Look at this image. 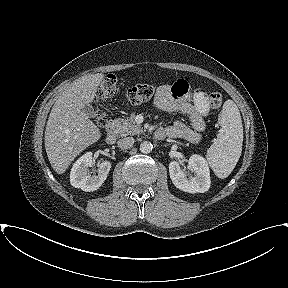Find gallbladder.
Masks as SVG:
<instances>
[{"label":"gallbladder","instance_id":"obj_1","mask_svg":"<svg viewBox=\"0 0 288 288\" xmlns=\"http://www.w3.org/2000/svg\"><path fill=\"white\" fill-rule=\"evenodd\" d=\"M82 111L89 117V118H95L96 117V112L94 108L91 105H86Z\"/></svg>","mask_w":288,"mask_h":288}]
</instances>
